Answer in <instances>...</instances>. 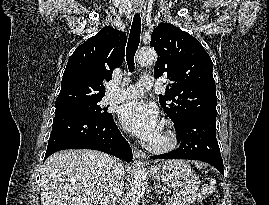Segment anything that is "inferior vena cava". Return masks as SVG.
Returning <instances> with one entry per match:
<instances>
[{"mask_svg":"<svg viewBox=\"0 0 269 205\" xmlns=\"http://www.w3.org/2000/svg\"><path fill=\"white\" fill-rule=\"evenodd\" d=\"M123 176V164L118 159L111 158L108 162L106 186L101 205H115L117 198L122 194Z\"/></svg>","mask_w":269,"mask_h":205,"instance_id":"inferior-vena-cava-1","label":"inferior vena cava"}]
</instances>
